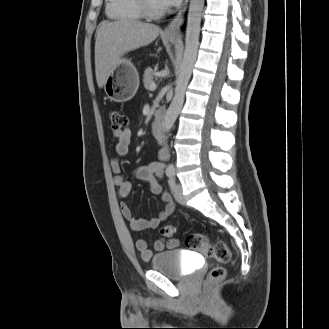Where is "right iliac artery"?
Listing matches in <instances>:
<instances>
[{
  "mask_svg": "<svg viewBox=\"0 0 329 329\" xmlns=\"http://www.w3.org/2000/svg\"><path fill=\"white\" fill-rule=\"evenodd\" d=\"M173 175L172 172H167V176L171 177Z\"/></svg>",
  "mask_w": 329,
  "mask_h": 329,
  "instance_id": "1",
  "label": "right iliac artery"
}]
</instances>
